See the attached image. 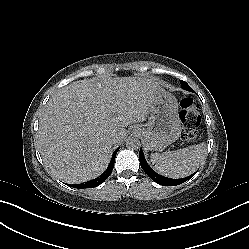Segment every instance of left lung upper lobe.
Instances as JSON below:
<instances>
[{"instance_id":"left-lung-upper-lobe-1","label":"left lung upper lobe","mask_w":249,"mask_h":249,"mask_svg":"<svg viewBox=\"0 0 249 249\" xmlns=\"http://www.w3.org/2000/svg\"><path fill=\"white\" fill-rule=\"evenodd\" d=\"M181 82V85L182 87L187 90V91H192L191 87L184 81H180Z\"/></svg>"}]
</instances>
